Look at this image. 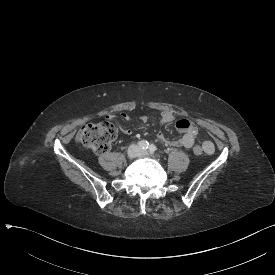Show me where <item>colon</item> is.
Masks as SVG:
<instances>
[{
  "instance_id": "1",
  "label": "colon",
  "mask_w": 275,
  "mask_h": 275,
  "mask_svg": "<svg viewBox=\"0 0 275 275\" xmlns=\"http://www.w3.org/2000/svg\"><path fill=\"white\" fill-rule=\"evenodd\" d=\"M118 135V128L109 121L85 123L77 134V142L81 147L91 149L95 153L105 154ZM206 147L196 145L194 152L203 154Z\"/></svg>"
}]
</instances>
